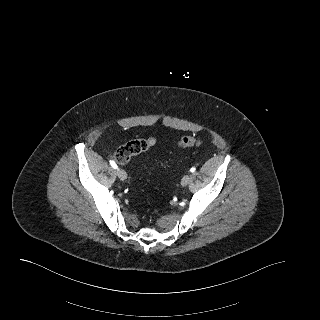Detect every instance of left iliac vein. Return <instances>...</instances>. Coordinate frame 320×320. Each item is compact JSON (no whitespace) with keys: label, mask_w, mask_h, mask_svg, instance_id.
<instances>
[{"label":"left iliac vein","mask_w":320,"mask_h":320,"mask_svg":"<svg viewBox=\"0 0 320 320\" xmlns=\"http://www.w3.org/2000/svg\"><path fill=\"white\" fill-rule=\"evenodd\" d=\"M190 179H191V177L188 174L183 176V178L181 179V185L183 187L186 186L190 182Z\"/></svg>","instance_id":"obj_1"}]
</instances>
